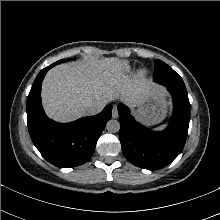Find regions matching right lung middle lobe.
<instances>
[{
    "label": "right lung middle lobe",
    "mask_w": 220,
    "mask_h": 220,
    "mask_svg": "<svg viewBox=\"0 0 220 220\" xmlns=\"http://www.w3.org/2000/svg\"><path fill=\"white\" fill-rule=\"evenodd\" d=\"M71 59H62V60H59L57 62H55L54 64L57 65L59 63H62V62H65V61H70Z\"/></svg>",
    "instance_id": "obj_1"
}]
</instances>
